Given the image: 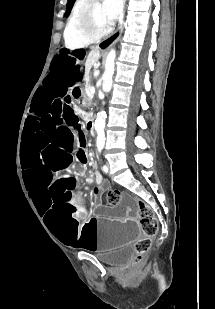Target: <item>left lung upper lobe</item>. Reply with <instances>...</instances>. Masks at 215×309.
Returning <instances> with one entry per match:
<instances>
[{"mask_svg": "<svg viewBox=\"0 0 215 309\" xmlns=\"http://www.w3.org/2000/svg\"><path fill=\"white\" fill-rule=\"evenodd\" d=\"M73 2H74V0H68L66 15L68 14L69 10L71 9Z\"/></svg>", "mask_w": 215, "mask_h": 309, "instance_id": "5c2ea615", "label": "left lung upper lobe"}]
</instances>
